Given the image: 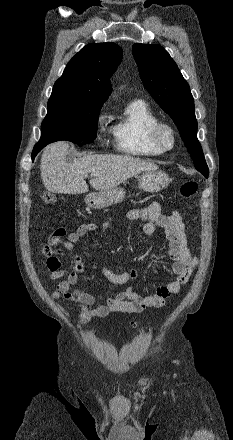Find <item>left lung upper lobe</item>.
<instances>
[{
	"mask_svg": "<svg viewBox=\"0 0 233 440\" xmlns=\"http://www.w3.org/2000/svg\"><path fill=\"white\" fill-rule=\"evenodd\" d=\"M133 56L145 88L173 119L195 167L207 166L197 139L194 99L174 60L160 45L134 44Z\"/></svg>",
	"mask_w": 233,
	"mask_h": 440,
	"instance_id": "obj_1",
	"label": "left lung upper lobe"
}]
</instances>
